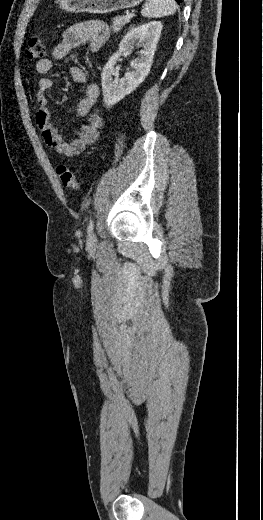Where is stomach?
Returning a JSON list of instances; mask_svg holds the SVG:
<instances>
[{"label": "stomach", "instance_id": "obj_1", "mask_svg": "<svg viewBox=\"0 0 263 520\" xmlns=\"http://www.w3.org/2000/svg\"><path fill=\"white\" fill-rule=\"evenodd\" d=\"M142 0H56L59 7L72 13L105 14L139 5Z\"/></svg>", "mask_w": 263, "mask_h": 520}]
</instances>
